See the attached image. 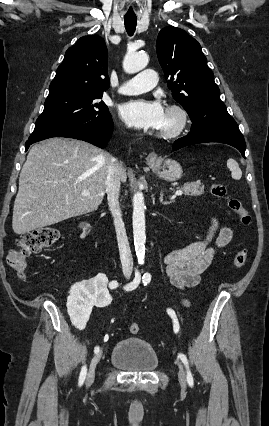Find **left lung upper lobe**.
I'll use <instances>...</instances> for the list:
<instances>
[{"mask_svg": "<svg viewBox=\"0 0 269 426\" xmlns=\"http://www.w3.org/2000/svg\"><path fill=\"white\" fill-rule=\"evenodd\" d=\"M158 60L172 96L195 118L198 112L225 107L200 44L186 31L167 26L157 38Z\"/></svg>", "mask_w": 269, "mask_h": 426, "instance_id": "1", "label": "left lung upper lobe"}]
</instances>
